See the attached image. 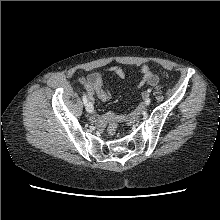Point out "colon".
<instances>
[{"instance_id":"colon-1","label":"colon","mask_w":220,"mask_h":220,"mask_svg":"<svg viewBox=\"0 0 220 220\" xmlns=\"http://www.w3.org/2000/svg\"><path fill=\"white\" fill-rule=\"evenodd\" d=\"M118 125L115 116L110 114L107 116V133L109 136H114L117 133Z\"/></svg>"}]
</instances>
